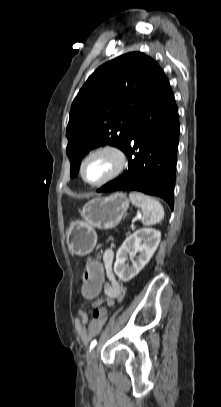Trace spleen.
<instances>
[{
    "instance_id": "obj_1",
    "label": "spleen",
    "mask_w": 221,
    "mask_h": 407,
    "mask_svg": "<svg viewBox=\"0 0 221 407\" xmlns=\"http://www.w3.org/2000/svg\"><path fill=\"white\" fill-rule=\"evenodd\" d=\"M129 199L133 205L141 208L139 215L144 225L156 224L164 218V209L156 199L140 192H131Z\"/></svg>"
}]
</instances>
